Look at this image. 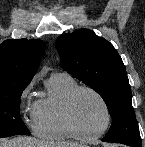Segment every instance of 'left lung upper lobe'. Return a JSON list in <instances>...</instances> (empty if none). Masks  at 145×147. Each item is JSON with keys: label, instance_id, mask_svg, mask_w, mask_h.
Wrapping results in <instances>:
<instances>
[{"label": "left lung upper lobe", "instance_id": "5c2ea615", "mask_svg": "<svg viewBox=\"0 0 145 147\" xmlns=\"http://www.w3.org/2000/svg\"><path fill=\"white\" fill-rule=\"evenodd\" d=\"M55 45L62 68L105 101L113 119L105 141L141 147L126 69L113 45L88 29L63 34Z\"/></svg>", "mask_w": 145, "mask_h": 147}]
</instances>
